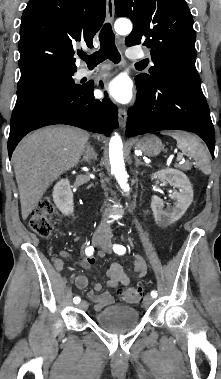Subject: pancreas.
<instances>
[{"mask_svg":"<svg viewBox=\"0 0 221 379\" xmlns=\"http://www.w3.org/2000/svg\"><path fill=\"white\" fill-rule=\"evenodd\" d=\"M177 167L181 170H189L191 168V164L190 163H185V164H179L177 165Z\"/></svg>","mask_w":221,"mask_h":379,"instance_id":"pancreas-1","label":"pancreas"}]
</instances>
